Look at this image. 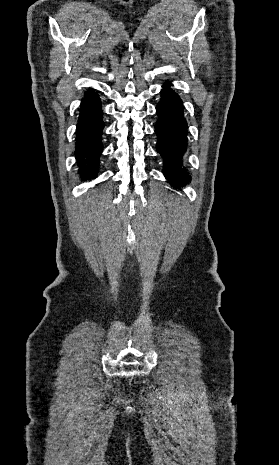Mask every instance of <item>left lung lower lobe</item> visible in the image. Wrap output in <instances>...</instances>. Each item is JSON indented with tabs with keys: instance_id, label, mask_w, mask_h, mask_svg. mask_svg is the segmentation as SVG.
Instances as JSON below:
<instances>
[{
	"instance_id": "left-lung-lower-lobe-1",
	"label": "left lung lower lobe",
	"mask_w": 279,
	"mask_h": 465,
	"mask_svg": "<svg viewBox=\"0 0 279 465\" xmlns=\"http://www.w3.org/2000/svg\"><path fill=\"white\" fill-rule=\"evenodd\" d=\"M161 100L157 104L158 121L155 133L158 137L157 152L164 159V175L173 185L182 186L190 181V176L183 166V154L187 148V122L184 117L182 100L170 88V83L163 85Z\"/></svg>"
}]
</instances>
